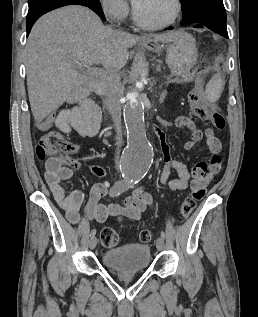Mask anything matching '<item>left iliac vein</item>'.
<instances>
[{
  "mask_svg": "<svg viewBox=\"0 0 258 317\" xmlns=\"http://www.w3.org/2000/svg\"><path fill=\"white\" fill-rule=\"evenodd\" d=\"M165 245H166V242L164 241V238L163 237H158L157 238V244H156L157 252L159 253L161 251V249H164Z\"/></svg>",
  "mask_w": 258,
  "mask_h": 317,
  "instance_id": "4c4485c4",
  "label": "left iliac vein"
}]
</instances>
